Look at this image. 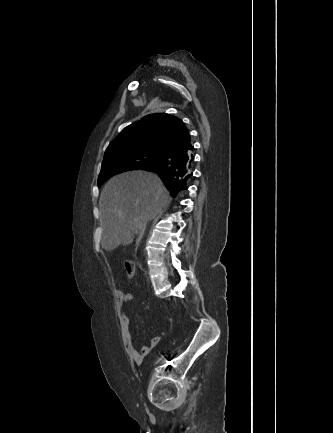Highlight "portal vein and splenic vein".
Wrapping results in <instances>:
<instances>
[{
    "label": "portal vein and splenic vein",
    "mask_w": 333,
    "mask_h": 433,
    "mask_svg": "<svg viewBox=\"0 0 333 433\" xmlns=\"http://www.w3.org/2000/svg\"><path fill=\"white\" fill-rule=\"evenodd\" d=\"M134 224H135L136 227H138V230L141 229V224L139 223L138 219L134 220Z\"/></svg>",
    "instance_id": "portal-vein-and-splenic-vein-1"
}]
</instances>
